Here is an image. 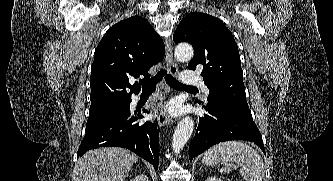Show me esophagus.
I'll return each instance as SVG.
<instances>
[{"mask_svg": "<svg viewBox=\"0 0 333 181\" xmlns=\"http://www.w3.org/2000/svg\"><path fill=\"white\" fill-rule=\"evenodd\" d=\"M165 49L167 71L169 74L176 75L178 72V65L173 58L172 42L170 38L166 39ZM158 123L160 126L172 124V118L166 113L165 109L161 110V112L159 113Z\"/></svg>", "mask_w": 333, "mask_h": 181, "instance_id": "1", "label": "esophagus"}]
</instances>
